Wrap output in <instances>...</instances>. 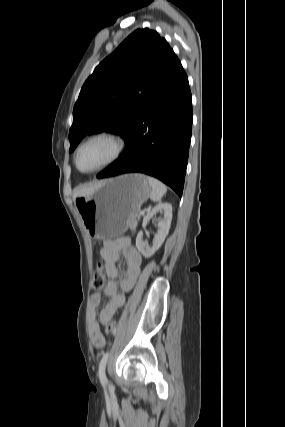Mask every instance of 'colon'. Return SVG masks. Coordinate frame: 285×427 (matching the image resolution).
Returning a JSON list of instances; mask_svg holds the SVG:
<instances>
[{
  "label": "colon",
  "mask_w": 285,
  "mask_h": 427,
  "mask_svg": "<svg viewBox=\"0 0 285 427\" xmlns=\"http://www.w3.org/2000/svg\"><path fill=\"white\" fill-rule=\"evenodd\" d=\"M105 284V274L104 270L101 264L98 265L97 269L93 273L92 281H91V287L94 290L101 289ZM106 332L112 333L115 331V324L114 323H108L106 326Z\"/></svg>",
  "instance_id": "colon-1"
}]
</instances>
